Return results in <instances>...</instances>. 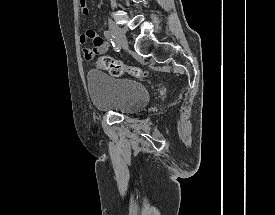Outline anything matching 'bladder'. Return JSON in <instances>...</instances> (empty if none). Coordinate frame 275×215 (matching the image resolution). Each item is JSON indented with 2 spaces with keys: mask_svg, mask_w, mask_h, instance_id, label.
Listing matches in <instances>:
<instances>
[{
  "mask_svg": "<svg viewBox=\"0 0 275 215\" xmlns=\"http://www.w3.org/2000/svg\"><path fill=\"white\" fill-rule=\"evenodd\" d=\"M86 81L94 107L98 110L133 114L144 108L149 100L148 88L138 80L108 76L90 70Z\"/></svg>",
  "mask_w": 275,
  "mask_h": 215,
  "instance_id": "obj_1",
  "label": "bladder"
}]
</instances>
